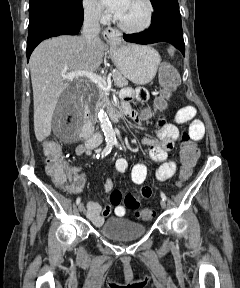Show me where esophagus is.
Returning a JSON list of instances; mask_svg holds the SVG:
<instances>
[{"label":"esophagus","mask_w":240,"mask_h":288,"mask_svg":"<svg viewBox=\"0 0 240 288\" xmlns=\"http://www.w3.org/2000/svg\"><path fill=\"white\" fill-rule=\"evenodd\" d=\"M103 36L108 42L112 43L119 40L120 34L117 30L108 28L103 32Z\"/></svg>","instance_id":"obj_1"}]
</instances>
